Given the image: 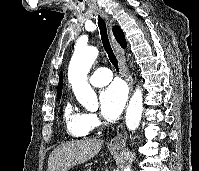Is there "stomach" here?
<instances>
[{
  "mask_svg": "<svg viewBox=\"0 0 199 171\" xmlns=\"http://www.w3.org/2000/svg\"><path fill=\"white\" fill-rule=\"evenodd\" d=\"M120 148H113L112 150H119Z\"/></svg>",
  "mask_w": 199,
  "mask_h": 171,
  "instance_id": "0dacf381",
  "label": "stomach"
}]
</instances>
